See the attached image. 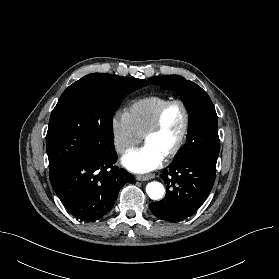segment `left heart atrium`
I'll use <instances>...</instances> for the list:
<instances>
[{"mask_svg": "<svg viewBox=\"0 0 279 279\" xmlns=\"http://www.w3.org/2000/svg\"><path fill=\"white\" fill-rule=\"evenodd\" d=\"M164 156L152 146L145 144L126 154L123 165L132 172L145 173L156 169L163 161Z\"/></svg>", "mask_w": 279, "mask_h": 279, "instance_id": "obj_1", "label": "left heart atrium"}]
</instances>
